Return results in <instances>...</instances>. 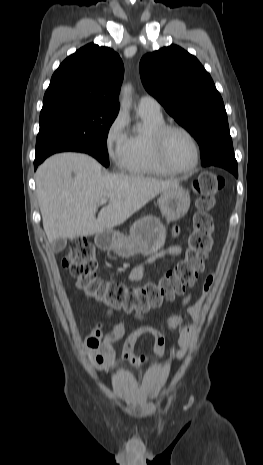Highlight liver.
I'll return each mask as SVG.
<instances>
[{
  "label": "liver",
  "mask_w": 263,
  "mask_h": 465,
  "mask_svg": "<svg viewBox=\"0 0 263 465\" xmlns=\"http://www.w3.org/2000/svg\"><path fill=\"white\" fill-rule=\"evenodd\" d=\"M176 186L178 180L103 175L94 158L80 153L54 155L36 174L43 227L50 243L59 238L73 239L111 230L159 193ZM102 199H109L110 203L96 218L97 205Z\"/></svg>",
  "instance_id": "1"
}]
</instances>
